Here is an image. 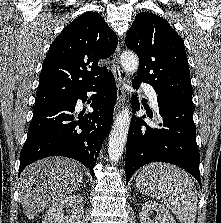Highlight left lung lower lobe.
<instances>
[{"label": "left lung lower lobe", "mask_w": 221, "mask_h": 223, "mask_svg": "<svg viewBox=\"0 0 221 223\" xmlns=\"http://www.w3.org/2000/svg\"><path fill=\"white\" fill-rule=\"evenodd\" d=\"M139 86L140 83L133 80V87L138 89ZM157 99L161 120L155 127L142 118L131 119L125 156L126 184L137 169L158 161L185 169L201 185L194 107L159 95ZM131 103L133 110H139V102L134 96Z\"/></svg>", "instance_id": "left-lung-lower-lobe-1"}]
</instances>
